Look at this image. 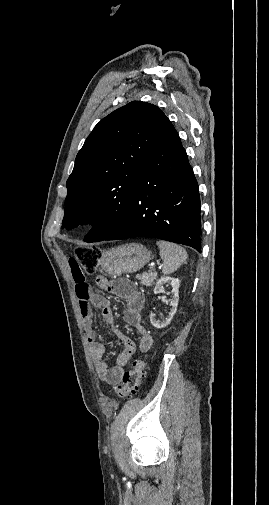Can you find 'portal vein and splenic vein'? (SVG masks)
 I'll use <instances>...</instances> for the list:
<instances>
[{
	"instance_id": "obj_1",
	"label": "portal vein and splenic vein",
	"mask_w": 269,
	"mask_h": 505,
	"mask_svg": "<svg viewBox=\"0 0 269 505\" xmlns=\"http://www.w3.org/2000/svg\"><path fill=\"white\" fill-rule=\"evenodd\" d=\"M151 270H152V271H154V270H155V268H151Z\"/></svg>"
}]
</instances>
